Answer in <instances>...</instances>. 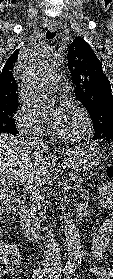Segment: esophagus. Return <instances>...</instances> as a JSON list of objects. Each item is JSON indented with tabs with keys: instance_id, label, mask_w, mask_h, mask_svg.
Returning a JSON list of instances; mask_svg holds the SVG:
<instances>
[{
	"instance_id": "34e87169",
	"label": "esophagus",
	"mask_w": 113,
	"mask_h": 279,
	"mask_svg": "<svg viewBox=\"0 0 113 279\" xmlns=\"http://www.w3.org/2000/svg\"><path fill=\"white\" fill-rule=\"evenodd\" d=\"M56 28H57L56 24H50V25H49V29H50L51 31H55Z\"/></svg>"
}]
</instances>
